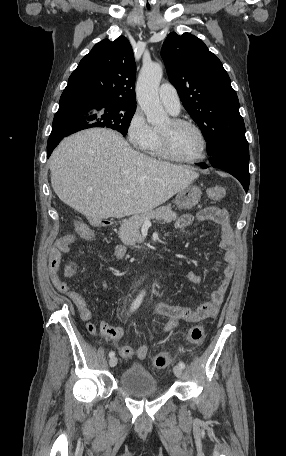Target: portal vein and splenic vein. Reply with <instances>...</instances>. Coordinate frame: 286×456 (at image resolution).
Returning <instances> with one entry per match:
<instances>
[{
    "label": "portal vein and splenic vein",
    "instance_id": "portal-vein-and-splenic-vein-1",
    "mask_svg": "<svg viewBox=\"0 0 286 456\" xmlns=\"http://www.w3.org/2000/svg\"><path fill=\"white\" fill-rule=\"evenodd\" d=\"M88 190H89V191H91V190H92V188H88ZM145 223H146V224H150L151 222H150V220H149V219H146V220H145Z\"/></svg>",
    "mask_w": 286,
    "mask_h": 456
}]
</instances>
